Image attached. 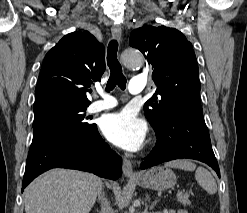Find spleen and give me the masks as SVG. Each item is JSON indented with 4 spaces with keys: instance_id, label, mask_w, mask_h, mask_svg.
Segmentation results:
<instances>
[{
    "instance_id": "spleen-1",
    "label": "spleen",
    "mask_w": 247,
    "mask_h": 213,
    "mask_svg": "<svg viewBox=\"0 0 247 213\" xmlns=\"http://www.w3.org/2000/svg\"><path fill=\"white\" fill-rule=\"evenodd\" d=\"M165 167L178 168L185 171H195V178L198 184L204 188L209 194L217 192V184L211 173L203 167H198L188 160H174L167 162Z\"/></svg>"
}]
</instances>
